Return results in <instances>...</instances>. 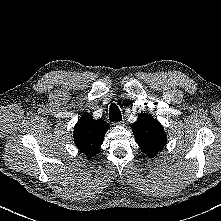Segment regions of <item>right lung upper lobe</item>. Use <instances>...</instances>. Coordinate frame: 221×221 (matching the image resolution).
I'll return each instance as SVG.
<instances>
[{"mask_svg": "<svg viewBox=\"0 0 221 221\" xmlns=\"http://www.w3.org/2000/svg\"><path fill=\"white\" fill-rule=\"evenodd\" d=\"M108 129L105 121L95 120L91 115L84 114L74 127L75 144L88 158H92L99 152Z\"/></svg>", "mask_w": 221, "mask_h": 221, "instance_id": "obj_1", "label": "right lung upper lobe"}]
</instances>
